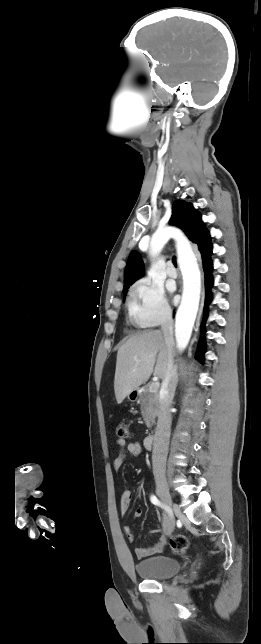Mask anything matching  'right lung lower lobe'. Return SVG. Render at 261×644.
Masks as SVG:
<instances>
[{
	"instance_id": "1",
	"label": "right lung lower lobe",
	"mask_w": 261,
	"mask_h": 644,
	"mask_svg": "<svg viewBox=\"0 0 261 644\" xmlns=\"http://www.w3.org/2000/svg\"><path fill=\"white\" fill-rule=\"evenodd\" d=\"M202 260H203V269H204V274H205V308H204V319H203V323L201 325V333L202 334H201V338H200L198 348H197V353H196V358H198L199 361H203V359H204V356L202 355V354H204V347H205V342H204V338H205L204 337V334H205L204 323H205V320H206V317H207V306L209 305V303L212 300L211 287L213 285V278H212V275H211L212 270H213V265H212V261L210 259V256L205 258V259H202Z\"/></svg>"
}]
</instances>
